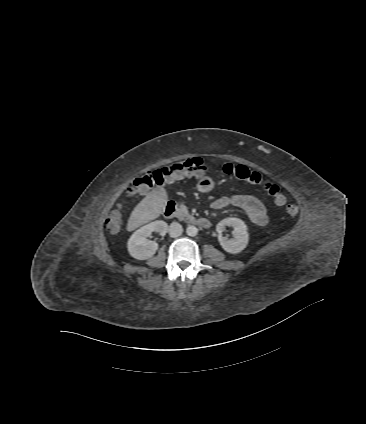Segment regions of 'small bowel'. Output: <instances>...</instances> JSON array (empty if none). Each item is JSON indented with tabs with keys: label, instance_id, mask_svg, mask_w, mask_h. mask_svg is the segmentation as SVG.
<instances>
[{
	"label": "small bowel",
	"instance_id": "c3829d8e",
	"mask_svg": "<svg viewBox=\"0 0 366 424\" xmlns=\"http://www.w3.org/2000/svg\"><path fill=\"white\" fill-rule=\"evenodd\" d=\"M228 206H236L242 209L250 221L258 226H265L269 221L264 204L253 195L241 192L228 197H220L212 203V207L217 210Z\"/></svg>",
	"mask_w": 366,
	"mask_h": 424
}]
</instances>
